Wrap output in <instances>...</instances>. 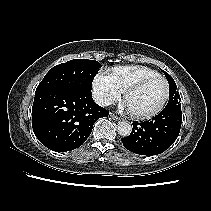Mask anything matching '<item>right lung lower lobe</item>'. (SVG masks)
<instances>
[{
	"label": "right lung lower lobe",
	"mask_w": 211,
	"mask_h": 211,
	"mask_svg": "<svg viewBox=\"0 0 211 211\" xmlns=\"http://www.w3.org/2000/svg\"><path fill=\"white\" fill-rule=\"evenodd\" d=\"M109 112L97 105L92 92L57 88L35 93L32 127L39 141L56 152L80 147L93 124Z\"/></svg>",
	"instance_id": "98d812e1"
}]
</instances>
